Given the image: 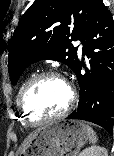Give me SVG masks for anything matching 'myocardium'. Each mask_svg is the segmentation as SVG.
<instances>
[{"mask_svg":"<svg viewBox=\"0 0 114 156\" xmlns=\"http://www.w3.org/2000/svg\"><path fill=\"white\" fill-rule=\"evenodd\" d=\"M45 78L61 79L66 84V86L68 88L69 99H68V102H67L65 108L58 114H55V115L49 116V117H45V118H40V119H32L24 108L23 100H24V97H25L26 93L28 92V90L34 84H36L38 81L45 79ZM75 100H76L75 90H74L73 86L63 76H61L59 73H57L55 71H44V72L36 74L35 76L30 78L24 84L23 88L21 89V91L18 95L17 105L21 111L24 122L29 126H37L42 123L58 120V119L65 117L72 109V107L75 103Z\"/></svg>","mask_w":114,"mask_h":156,"instance_id":"1","label":"myocardium"}]
</instances>
